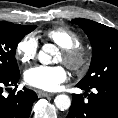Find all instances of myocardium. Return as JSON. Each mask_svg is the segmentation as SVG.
<instances>
[{
  "mask_svg": "<svg viewBox=\"0 0 118 118\" xmlns=\"http://www.w3.org/2000/svg\"><path fill=\"white\" fill-rule=\"evenodd\" d=\"M63 62L75 72H83L89 65L90 55L82 47L62 49Z\"/></svg>",
  "mask_w": 118,
  "mask_h": 118,
  "instance_id": "1",
  "label": "myocardium"
}]
</instances>
